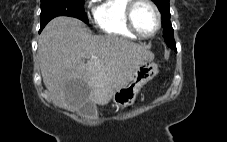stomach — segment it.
Segmentation results:
<instances>
[{"label":"stomach","mask_w":227,"mask_h":142,"mask_svg":"<svg viewBox=\"0 0 227 142\" xmlns=\"http://www.w3.org/2000/svg\"><path fill=\"white\" fill-rule=\"evenodd\" d=\"M157 73L158 67L155 63L144 61L134 70L125 84L115 91L113 95L114 104L121 108L133 105L142 86L153 79Z\"/></svg>","instance_id":"0dacf381"}]
</instances>
